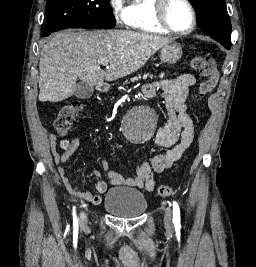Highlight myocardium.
I'll return each mask as SVG.
<instances>
[{"mask_svg": "<svg viewBox=\"0 0 256 267\" xmlns=\"http://www.w3.org/2000/svg\"><path fill=\"white\" fill-rule=\"evenodd\" d=\"M170 1L172 0H158V8H157L156 15H155L156 23L158 24V26H160L162 29L169 32L170 34H173L176 36L190 35L195 30L196 25H197L196 12L193 6L187 0H177L179 2H182L188 7V9L191 12V16H192V25L190 29L184 32H180L171 27L166 17V10H167L168 3Z\"/></svg>", "mask_w": 256, "mask_h": 267, "instance_id": "obj_1", "label": "myocardium"}]
</instances>
